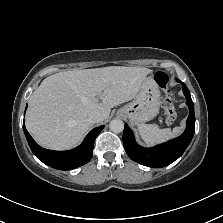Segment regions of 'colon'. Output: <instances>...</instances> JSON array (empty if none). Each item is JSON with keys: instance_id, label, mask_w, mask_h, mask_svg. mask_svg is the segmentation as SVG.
Returning a JSON list of instances; mask_svg holds the SVG:
<instances>
[{"instance_id": "colon-1", "label": "colon", "mask_w": 223, "mask_h": 223, "mask_svg": "<svg viewBox=\"0 0 223 223\" xmlns=\"http://www.w3.org/2000/svg\"><path fill=\"white\" fill-rule=\"evenodd\" d=\"M155 81L159 87L165 90L166 96L163 105L166 112V121L168 124H172L177 118V111L174 103V92L168 87L169 78L164 72H157Z\"/></svg>"}]
</instances>
